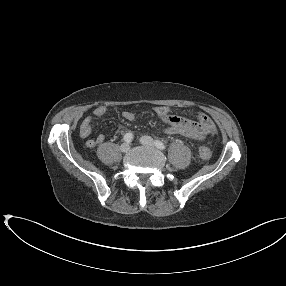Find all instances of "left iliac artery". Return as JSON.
Listing matches in <instances>:
<instances>
[{
    "mask_svg": "<svg viewBox=\"0 0 286 286\" xmlns=\"http://www.w3.org/2000/svg\"><path fill=\"white\" fill-rule=\"evenodd\" d=\"M154 144L157 148L161 150H164L166 148L165 144L159 140H155Z\"/></svg>",
    "mask_w": 286,
    "mask_h": 286,
    "instance_id": "44dca946",
    "label": "left iliac artery"
}]
</instances>
